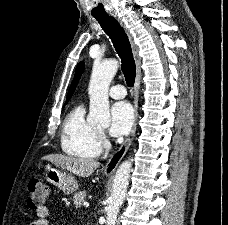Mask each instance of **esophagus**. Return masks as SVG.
<instances>
[{"label":"esophagus","mask_w":228,"mask_h":225,"mask_svg":"<svg viewBox=\"0 0 228 225\" xmlns=\"http://www.w3.org/2000/svg\"><path fill=\"white\" fill-rule=\"evenodd\" d=\"M114 16H115L116 20L119 22V24L121 25V27H123V29L125 30L128 38H129L132 52H133V57H134L135 64H136V77H135V86H134V95H133L134 109H135V121L133 123L132 131H131L129 137L126 138V140H124V142L120 146L119 150H117V152H115L112 155V157L109 159V161L106 163V165L104 167V174L108 177L112 176L114 174L116 168L118 167V164L120 163V161L122 160V158L124 157L126 152L128 151V149L132 143V140L134 139V136L136 134L137 119H138V99H139L140 78H141V57L139 55V49L134 42V38H133L132 34L127 30L126 25L122 21V19L120 17H118L117 15H114Z\"/></svg>","instance_id":"34e87169"}]
</instances>
